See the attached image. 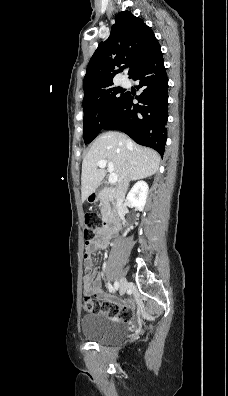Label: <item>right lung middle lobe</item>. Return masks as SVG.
<instances>
[{
  "label": "right lung middle lobe",
  "instance_id": "right-lung-middle-lobe-1",
  "mask_svg": "<svg viewBox=\"0 0 228 396\" xmlns=\"http://www.w3.org/2000/svg\"><path fill=\"white\" fill-rule=\"evenodd\" d=\"M127 93L120 87L109 86L93 92L83 99V138L90 143L116 112Z\"/></svg>",
  "mask_w": 228,
  "mask_h": 396
}]
</instances>
